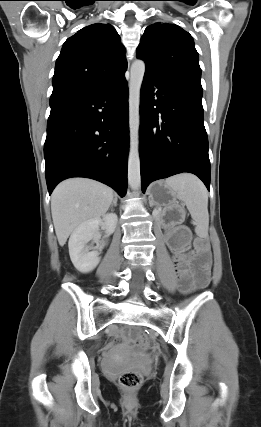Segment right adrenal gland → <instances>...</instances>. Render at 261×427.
<instances>
[{"mask_svg": "<svg viewBox=\"0 0 261 427\" xmlns=\"http://www.w3.org/2000/svg\"><path fill=\"white\" fill-rule=\"evenodd\" d=\"M113 206H115V207L117 206V198L116 197L113 199L110 208H113Z\"/></svg>", "mask_w": 261, "mask_h": 427, "instance_id": "right-adrenal-gland-1", "label": "right adrenal gland"}]
</instances>
